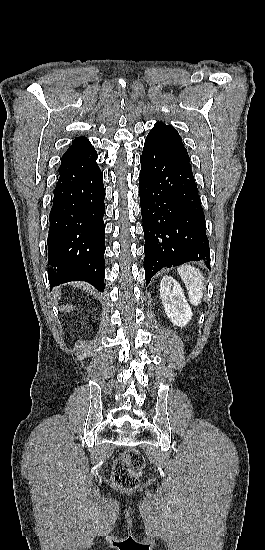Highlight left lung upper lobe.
Segmentation results:
<instances>
[{
    "mask_svg": "<svg viewBox=\"0 0 265 550\" xmlns=\"http://www.w3.org/2000/svg\"><path fill=\"white\" fill-rule=\"evenodd\" d=\"M145 142L155 144L165 150L179 155L189 161L187 150L184 148L182 138L171 125L157 122L150 130Z\"/></svg>",
    "mask_w": 265,
    "mask_h": 550,
    "instance_id": "left-lung-upper-lobe-1",
    "label": "left lung upper lobe"
}]
</instances>
